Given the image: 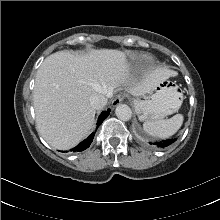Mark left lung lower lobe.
<instances>
[{
    "instance_id": "obj_1",
    "label": "left lung lower lobe",
    "mask_w": 220,
    "mask_h": 220,
    "mask_svg": "<svg viewBox=\"0 0 220 220\" xmlns=\"http://www.w3.org/2000/svg\"><path fill=\"white\" fill-rule=\"evenodd\" d=\"M176 141V138L175 139H170V140H164V141H161V142H149V144L153 145V146H156V147H166V146H169L171 145L173 142Z\"/></svg>"
}]
</instances>
